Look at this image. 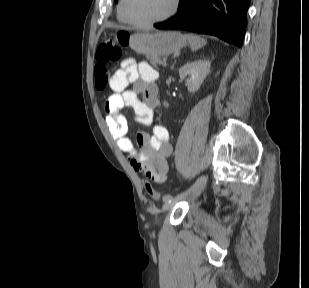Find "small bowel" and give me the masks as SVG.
I'll return each instance as SVG.
<instances>
[{
    "instance_id": "1",
    "label": "small bowel",
    "mask_w": 309,
    "mask_h": 288,
    "mask_svg": "<svg viewBox=\"0 0 309 288\" xmlns=\"http://www.w3.org/2000/svg\"><path fill=\"white\" fill-rule=\"evenodd\" d=\"M155 75V70L146 62L124 61L110 79L113 93L105 103V123L134 170L142 172L147 181L162 183L166 180L167 159L172 153L167 128L158 124L153 126L152 134L140 132L136 139L137 149L127 136V121L121 113L123 107H131L140 125L152 124L154 110L160 107Z\"/></svg>"
}]
</instances>
